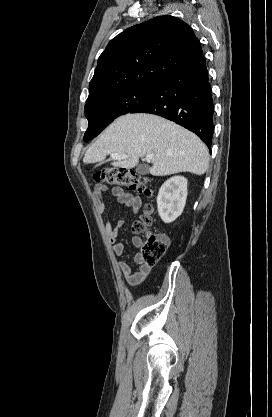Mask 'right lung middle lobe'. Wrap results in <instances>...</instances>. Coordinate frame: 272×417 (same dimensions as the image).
Here are the masks:
<instances>
[{"label": "right lung middle lobe", "mask_w": 272, "mask_h": 417, "mask_svg": "<svg viewBox=\"0 0 272 417\" xmlns=\"http://www.w3.org/2000/svg\"><path fill=\"white\" fill-rule=\"evenodd\" d=\"M159 84L139 85L116 91L100 97L85 105L88 129L84 135L87 142L96 137L115 118L132 113L147 101L157 90Z\"/></svg>", "instance_id": "dd1d6c3e"}]
</instances>
